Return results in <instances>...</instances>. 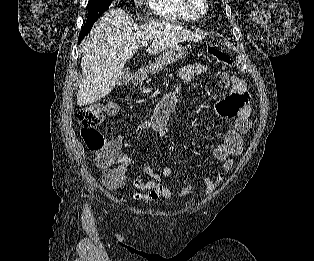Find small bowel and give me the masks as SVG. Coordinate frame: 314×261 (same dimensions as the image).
Returning <instances> with one entry per match:
<instances>
[{
	"instance_id": "obj_1",
	"label": "small bowel",
	"mask_w": 314,
	"mask_h": 261,
	"mask_svg": "<svg viewBox=\"0 0 314 261\" xmlns=\"http://www.w3.org/2000/svg\"><path fill=\"white\" fill-rule=\"evenodd\" d=\"M212 68L203 63H193L183 66L179 72V79L182 83L189 82L196 74L211 72ZM232 93L219 100L215 104V110L221 118L233 119L234 126L225 131L222 141L213 147L212 154L215 159L221 162L218 172L212 177L203 179L204 194L211 195L216 187L223 181L225 176L230 172L233 166V156H237L243 149L242 135L247 133L250 128L249 117L252 112L251 96L246 84L239 77L232 75L230 77ZM181 87L177 86L174 90L166 94L157 104L150 120L140 123L136 128L138 135L154 133L161 137H166L168 131L166 123L170 113L173 111L177 96ZM117 151L113 156L118 162L115 171L126 176L128 169L134 164L133 159L119 149L122 144L121 138H116ZM144 173L149 180L135 178L132 185L143 193H134L136 199L153 201L159 198L170 199L173 196L172 191L161 183V176H171L174 169L169 166H163L161 172H156L152 165L144 167ZM193 191V186L187 184L179 191V196H187Z\"/></svg>"
}]
</instances>
